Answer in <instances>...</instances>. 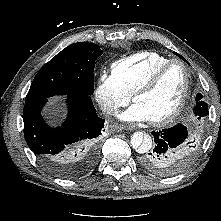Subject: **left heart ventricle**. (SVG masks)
<instances>
[{
  "label": "left heart ventricle",
  "mask_w": 221,
  "mask_h": 221,
  "mask_svg": "<svg viewBox=\"0 0 221 221\" xmlns=\"http://www.w3.org/2000/svg\"><path fill=\"white\" fill-rule=\"evenodd\" d=\"M184 89V70L181 65L173 64L151 91L139 95L134 102L145 109L150 120L159 119L177 106Z\"/></svg>",
  "instance_id": "obj_1"
}]
</instances>
